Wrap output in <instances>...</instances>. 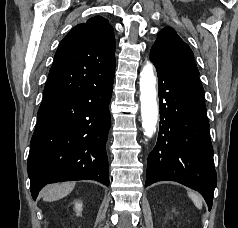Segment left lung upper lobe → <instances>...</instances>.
<instances>
[{
	"instance_id": "5c2ea615",
	"label": "left lung upper lobe",
	"mask_w": 238,
	"mask_h": 228,
	"mask_svg": "<svg viewBox=\"0 0 238 228\" xmlns=\"http://www.w3.org/2000/svg\"><path fill=\"white\" fill-rule=\"evenodd\" d=\"M150 55L160 57L171 66L192 73L199 78L192 50L171 27H165L158 33Z\"/></svg>"
}]
</instances>
